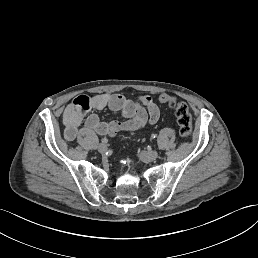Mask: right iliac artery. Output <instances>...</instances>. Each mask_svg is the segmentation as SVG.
Masks as SVG:
<instances>
[{"label": "right iliac artery", "mask_w": 258, "mask_h": 258, "mask_svg": "<svg viewBox=\"0 0 258 258\" xmlns=\"http://www.w3.org/2000/svg\"><path fill=\"white\" fill-rule=\"evenodd\" d=\"M101 141H102L103 143H107V142H108V139H107V138H103Z\"/></svg>", "instance_id": "obj_1"}]
</instances>
